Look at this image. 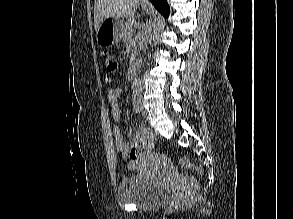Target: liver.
Returning <instances> with one entry per match:
<instances>
[{
	"instance_id": "6515ba94",
	"label": "liver",
	"mask_w": 293,
	"mask_h": 219,
	"mask_svg": "<svg viewBox=\"0 0 293 219\" xmlns=\"http://www.w3.org/2000/svg\"><path fill=\"white\" fill-rule=\"evenodd\" d=\"M140 0H95L94 24L98 31L108 17H132Z\"/></svg>"
}]
</instances>
